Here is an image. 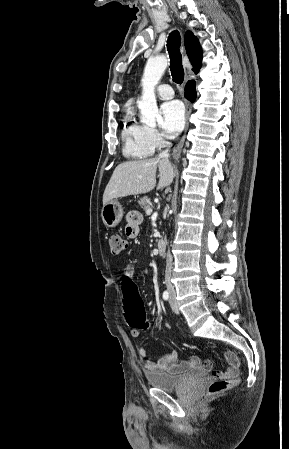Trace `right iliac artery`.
<instances>
[{
    "label": "right iliac artery",
    "mask_w": 289,
    "mask_h": 449,
    "mask_svg": "<svg viewBox=\"0 0 289 449\" xmlns=\"http://www.w3.org/2000/svg\"><path fill=\"white\" fill-rule=\"evenodd\" d=\"M162 296H163L164 300H168L169 299V292L168 291H164Z\"/></svg>",
    "instance_id": "82829eb1"
}]
</instances>
